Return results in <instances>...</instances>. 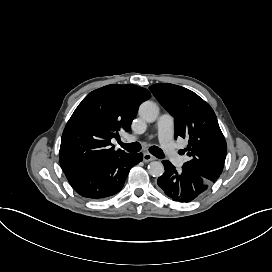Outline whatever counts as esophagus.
<instances>
[{"label":"esophagus","mask_w":272,"mask_h":272,"mask_svg":"<svg viewBox=\"0 0 272 272\" xmlns=\"http://www.w3.org/2000/svg\"><path fill=\"white\" fill-rule=\"evenodd\" d=\"M154 160H156V157L153 156L152 154L147 153V152L143 153V161L144 162L154 161Z\"/></svg>","instance_id":"34e87169"}]
</instances>
